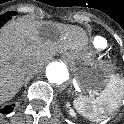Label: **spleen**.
<instances>
[{"instance_id": "obj_1", "label": "spleen", "mask_w": 124, "mask_h": 124, "mask_svg": "<svg viewBox=\"0 0 124 124\" xmlns=\"http://www.w3.org/2000/svg\"><path fill=\"white\" fill-rule=\"evenodd\" d=\"M117 84L118 79L114 77L113 82L106 86L98 98H76L73 102L75 109L90 121L98 122L104 120L107 118L106 113L113 111L119 103L120 88Z\"/></svg>"}]
</instances>
